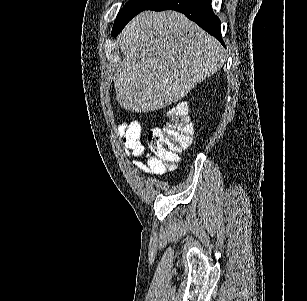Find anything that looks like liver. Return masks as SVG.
I'll use <instances>...</instances> for the list:
<instances>
[{"label":"liver","instance_id":"6515ba94","mask_svg":"<svg viewBox=\"0 0 307 301\" xmlns=\"http://www.w3.org/2000/svg\"><path fill=\"white\" fill-rule=\"evenodd\" d=\"M123 60L113 80L118 104L152 112L184 98L223 66L227 54L208 32L176 10H144L119 36Z\"/></svg>","mask_w":307,"mask_h":301}]
</instances>
